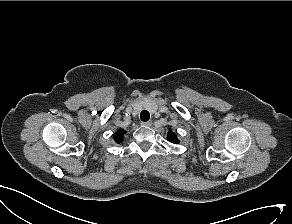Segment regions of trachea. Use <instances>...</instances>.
Segmentation results:
<instances>
[{"label":"trachea","mask_w":292,"mask_h":224,"mask_svg":"<svg viewBox=\"0 0 292 224\" xmlns=\"http://www.w3.org/2000/svg\"><path fill=\"white\" fill-rule=\"evenodd\" d=\"M140 119L144 122L148 121L150 119V114L147 110H143L141 113H140Z\"/></svg>","instance_id":"obj_1"}]
</instances>
